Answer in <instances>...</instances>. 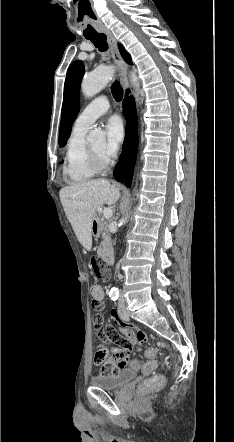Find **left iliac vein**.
I'll return each mask as SVG.
<instances>
[{"label": "left iliac vein", "instance_id": "4c4485c4", "mask_svg": "<svg viewBox=\"0 0 234 442\" xmlns=\"http://www.w3.org/2000/svg\"><path fill=\"white\" fill-rule=\"evenodd\" d=\"M118 314H119V316H120V318L122 320H129V315H128V312L126 310V307H125L123 299H121L120 302H119Z\"/></svg>", "mask_w": 234, "mask_h": 442}]
</instances>
